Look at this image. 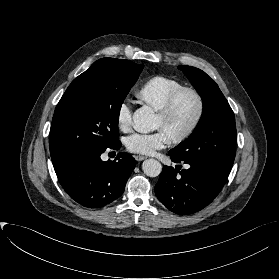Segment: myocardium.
Instances as JSON below:
<instances>
[{
    "instance_id": "obj_1",
    "label": "myocardium",
    "mask_w": 279,
    "mask_h": 279,
    "mask_svg": "<svg viewBox=\"0 0 279 279\" xmlns=\"http://www.w3.org/2000/svg\"><path fill=\"white\" fill-rule=\"evenodd\" d=\"M183 94H190L195 98L197 102V111L190 125L182 133L169 138V141L172 143H181L190 138L198 129L205 114V100L202 94L194 88L181 87L170 94L163 107L158 111V116L163 119L168 118L171 115L177 100Z\"/></svg>"
}]
</instances>
